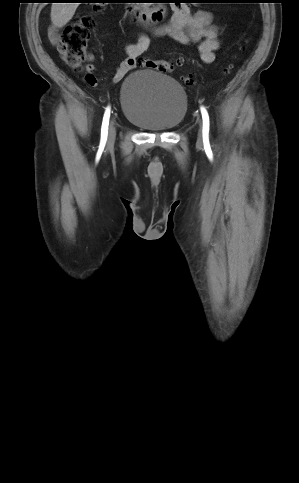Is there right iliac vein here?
<instances>
[{
    "label": "right iliac vein",
    "mask_w": 299,
    "mask_h": 483,
    "mask_svg": "<svg viewBox=\"0 0 299 483\" xmlns=\"http://www.w3.org/2000/svg\"><path fill=\"white\" fill-rule=\"evenodd\" d=\"M116 136V129L114 123L112 122L109 127V134H108V143L111 144L114 142Z\"/></svg>",
    "instance_id": "63e3f726"
}]
</instances>
